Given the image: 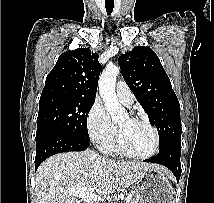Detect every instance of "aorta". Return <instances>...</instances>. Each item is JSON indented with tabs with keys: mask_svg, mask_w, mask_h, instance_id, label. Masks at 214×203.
<instances>
[{
	"mask_svg": "<svg viewBox=\"0 0 214 203\" xmlns=\"http://www.w3.org/2000/svg\"><path fill=\"white\" fill-rule=\"evenodd\" d=\"M120 69L114 64H108L99 78V91L105 104L106 111L111 115L113 121L126 116L125 109L119 104L115 84Z\"/></svg>",
	"mask_w": 214,
	"mask_h": 203,
	"instance_id": "aorta-1",
	"label": "aorta"
}]
</instances>
